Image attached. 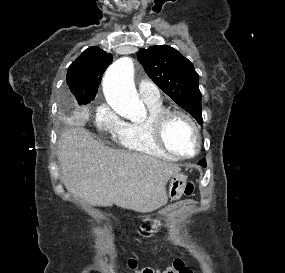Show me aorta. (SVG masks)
<instances>
[{
    "label": "aorta",
    "instance_id": "762f6f07",
    "mask_svg": "<svg viewBox=\"0 0 285 273\" xmlns=\"http://www.w3.org/2000/svg\"><path fill=\"white\" fill-rule=\"evenodd\" d=\"M134 64L130 57L115 61L103 78L107 103L118 114L128 118H143L146 109L134 86Z\"/></svg>",
    "mask_w": 285,
    "mask_h": 273
}]
</instances>
